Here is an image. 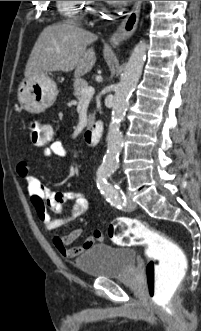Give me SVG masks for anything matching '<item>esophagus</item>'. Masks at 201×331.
Instances as JSON below:
<instances>
[{
    "label": "esophagus",
    "instance_id": "1",
    "mask_svg": "<svg viewBox=\"0 0 201 331\" xmlns=\"http://www.w3.org/2000/svg\"><path fill=\"white\" fill-rule=\"evenodd\" d=\"M142 1H136L128 16L122 21L110 38L111 45L116 48L130 38L137 28Z\"/></svg>",
    "mask_w": 201,
    "mask_h": 331
}]
</instances>
